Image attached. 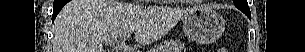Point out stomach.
<instances>
[{
	"mask_svg": "<svg viewBox=\"0 0 305 52\" xmlns=\"http://www.w3.org/2000/svg\"><path fill=\"white\" fill-rule=\"evenodd\" d=\"M224 25V18L208 7H195L183 19L185 35L200 44L216 41L221 36Z\"/></svg>",
	"mask_w": 305,
	"mask_h": 52,
	"instance_id": "1",
	"label": "stomach"
}]
</instances>
